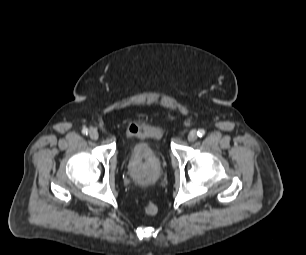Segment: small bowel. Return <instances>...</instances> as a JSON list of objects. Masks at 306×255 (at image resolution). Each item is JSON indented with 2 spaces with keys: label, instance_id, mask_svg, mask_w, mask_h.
<instances>
[{
  "label": "small bowel",
  "instance_id": "small-bowel-1",
  "mask_svg": "<svg viewBox=\"0 0 306 255\" xmlns=\"http://www.w3.org/2000/svg\"><path fill=\"white\" fill-rule=\"evenodd\" d=\"M138 130V126L131 127L128 133L133 134Z\"/></svg>",
  "mask_w": 306,
  "mask_h": 255
}]
</instances>
